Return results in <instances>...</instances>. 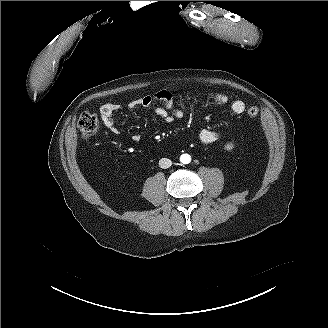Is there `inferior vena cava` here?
I'll return each instance as SVG.
<instances>
[{"instance_id":"602c4592","label":"inferior vena cava","mask_w":328,"mask_h":328,"mask_svg":"<svg viewBox=\"0 0 328 328\" xmlns=\"http://www.w3.org/2000/svg\"><path fill=\"white\" fill-rule=\"evenodd\" d=\"M172 165V161L168 158H162L160 161H159V166L161 168H164V169H167L169 167H171Z\"/></svg>"}]
</instances>
